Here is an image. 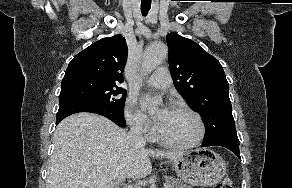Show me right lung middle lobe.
I'll use <instances>...</instances> for the list:
<instances>
[{"instance_id":"obj_1","label":"right lung middle lobe","mask_w":292,"mask_h":188,"mask_svg":"<svg viewBox=\"0 0 292 188\" xmlns=\"http://www.w3.org/2000/svg\"><path fill=\"white\" fill-rule=\"evenodd\" d=\"M126 94V90L114 82L94 78H73L62 80L59 101L79 99L104 110L122 114Z\"/></svg>"}]
</instances>
